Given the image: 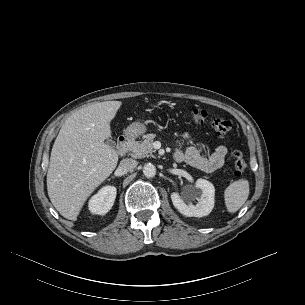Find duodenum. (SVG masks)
Wrapping results in <instances>:
<instances>
[{
	"mask_svg": "<svg viewBox=\"0 0 305 305\" xmlns=\"http://www.w3.org/2000/svg\"><path fill=\"white\" fill-rule=\"evenodd\" d=\"M132 144V138L128 136L121 137L117 143V152L123 155L128 152Z\"/></svg>",
	"mask_w": 305,
	"mask_h": 305,
	"instance_id": "obj_1",
	"label": "duodenum"
}]
</instances>
